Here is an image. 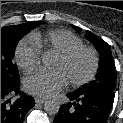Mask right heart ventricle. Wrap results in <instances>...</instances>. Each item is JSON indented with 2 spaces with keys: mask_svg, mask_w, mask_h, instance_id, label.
Instances as JSON below:
<instances>
[{
  "mask_svg": "<svg viewBox=\"0 0 123 123\" xmlns=\"http://www.w3.org/2000/svg\"><path fill=\"white\" fill-rule=\"evenodd\" d=\"M29 38L40 51H54L56 53L84 44L79 36L66 29H51L46 32H34Z\"/></svg>",
  "mask_w": 123,
  "mask_h": 123,
  "instance_id": "right-heart-ventricle-1",
  "label": "right heart ventricle"
}]
</instances>
